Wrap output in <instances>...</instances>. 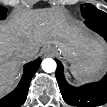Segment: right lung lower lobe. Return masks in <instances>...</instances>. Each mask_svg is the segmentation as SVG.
I'll list each match as a JSON object with an SVG mask.
<instances>
[{
  "instance_id": "obj_1",
  "label": "right lung lower lobe",
  "mask_w": 107,
  "mask_h": 107,
  "mask_svg": "<svg viewBox=\"0 0 107 107\" xmlns=\"http://www.w3.org/2000/svg\"><path fill=\"white\" fill-rule=\"evenodd\" d=\"M41 63L40 59H36L24 66V73L18 86L10 94L0 100L1 107H19L26 98L31 79Z\"/></svg>"
}]
</instances>
